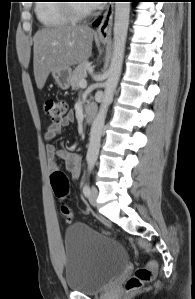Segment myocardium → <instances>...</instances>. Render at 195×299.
<instances>
[{
    "label": "myocardium",
    "mask_w": 195,
    "mask_h": 299,
    "mask_svg": "<svg viewBox=\"0 0 195 299\" xmlns=\"http://www.w3.org/2000/svg\"><path fill=\"white\" fill-rule=\"evenodd\" d=\"M65 8L74 21H83L91 17L94 13L93 7L89 10H81L78 3H68Z\"/></svg>",
    "instance_id": "f54148a6"
}]
</instances>
